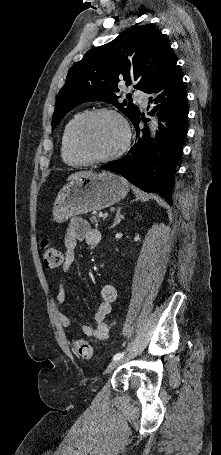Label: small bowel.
<instances>
[{
  "label": "small bowel",
  "mask_w": 221,
  "mask_h": 455,
  "mask_svg": "<svg viewBox=\"0 0 221 455\" xmlns=\"http://www.w3.org/2000/svg\"><path fill=\"white\" fill-rule=\"evenodd\" d=\"M101 239L100 231L92 229L87 222L80 218L71 219L64 239L63 270L67 272L75 264L77 257L76 247L80 242L84 241L89 246H97L100 244ZM100 296L101 300L94 313L95 326L82 325L81 330L85 336L103 341L107 339L109 334V326L105 319L111 312L112 304L117 299V290L115 286L106 284L102 287ZM66 299V290L64 285L61 284L57 300L60 303H64ZM58 319L62 327L69 328L71 326V319L65 313H59Z\"/></svg>",
  "instance_id": "obj_1"
}]
</instances>
